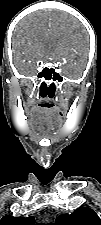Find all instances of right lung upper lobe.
Listing matches in <instances>:
<instances>
[{
  "label": "right lung upper lobe",
  "instance_id": "cb5924a9",
  "mask_svg": "<svg viewBox=\"0 0 101 225\" xmlns=\"http://www.w3.org/2000/svg\"><path fill=\"white\" fill-rule=\"evenodd\" d=\"M0 225H37L35 219L32 216L29 217H13L11 215L4 216Z\"/></svg>",
  "mask_w": 101,
  "mask_h": 225
}]
</instances>
